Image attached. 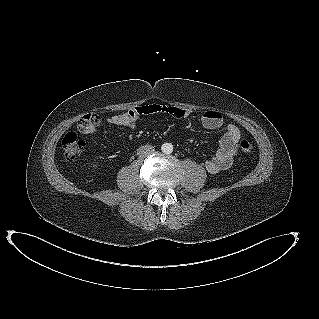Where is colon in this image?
Segmentation results:
<instances>
[{"mask_svg":"<svg viewBox=\"0 0 319 319\" xmlns=\"http://www.w3.org/2000/svg\"><path fill=\"white\" fill-rule=\"evenodd\" d=\"M93 120V114L84 115L79 121V124H86ZM85 141L80 139L74 132L67 133L62 140V147L64 156L67 160H74L85 150ZM241 151L247 155L252 156L254 154L253 145L247 141L242 140L240 142Z\"/></svg>","mask_w":319,"mask_h":319,"instance_id":"colon-1","label":"colon"}]
</instances>
